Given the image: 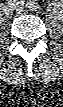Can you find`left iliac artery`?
Listing matches in <instances>:
<instances>
[{
  "label": "left iliac artery",
  "instance_id": "1",
  "mask_svg": "<svg viewBox=\"0 0 63 107\" xmlns=\"http://www.w3.org/2000/svg\"><path fill=\"white\" fill-rule=\"evenodd\" d=\"M28 4H30V5H31V7H36L34 4H32V3H30V2H29Z\"/></svg>",
  "mask_w": 63,
  "mask_h": 107
}]
</instances>
